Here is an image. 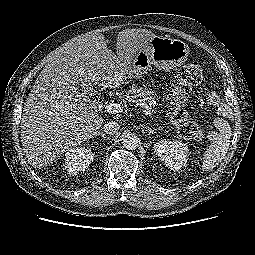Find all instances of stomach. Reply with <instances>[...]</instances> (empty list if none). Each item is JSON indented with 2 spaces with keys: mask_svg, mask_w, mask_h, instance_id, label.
I'll list each match as a JSON object with an SVG mask.
<instances>
[{
  "mask_svg": "<svg viewBox=\"0 0 255 255\" xmlns=\"http://www.w3.org/2000/svg\"><path fill=\"white\" fill-rule=\"evenodd\" d=\"M189 46L168 36H154L147 47L137 51L128 71L113 85L119 86L125 80L136 79L146 74L151 66L163 71L174 70L188 59Z\"/></svg>",
  "mask_w": 255,
  "mask_h": 255,
  "instance_id": "1",
  "label": "stomach"
}]
</instances>
